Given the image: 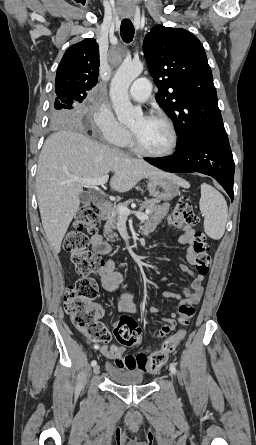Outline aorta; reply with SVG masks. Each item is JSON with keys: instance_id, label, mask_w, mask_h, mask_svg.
<instances>
[{"instance_id": "1", "label": "aorta", "mask_w": 256, "mask_h": 445, "mask_svg": "<svg viewBox=\"0 0 256 445\" xmlns=\"http://www.w3.org/2000/svg\"><path fill=\"white\" fill-rule=\"evenodd\" d=\"M142 71L140 61H124L111 81L110 98L120 123L130 124L142 116V110L132 105L128 95L131 83Z\"/></svg>"}]
</instances>
